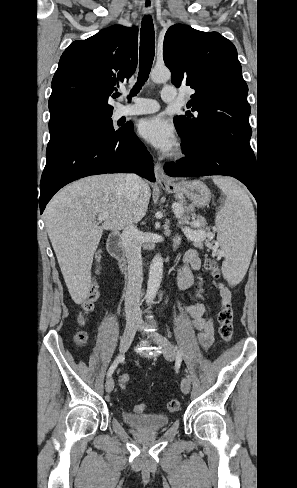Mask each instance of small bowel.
<instances>
[{
	"instance_id": "small-bowel-1",
	"label": "small bowel",
	"mask_w": 297,
	"mask_h": 488,
	"mask_svg": "<svg viewBox=\"0 0 297 488\" xmlns=\"http://www.w3.org/2000/svg\"><path fill=\"white\" fill-rule=\"evenodd\" d=\"M180 238L175 236L173 238L174 247L179 244ZM202 262L195 249L187 250L182 258V263L177 268V285L182 290L193 289L196 302L183 307V311L191 318V324L198 330L199 342L203 348H209L214 340V316L207 314L206 305L204 303V295L206 292L205 278L201 274ZM214 286L217 289L221 302L231 301V291L228 287L218 281H214ZM137 365H139L137 363Z\"/></svg>"
}]
</instances>
